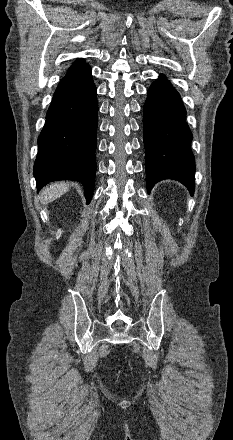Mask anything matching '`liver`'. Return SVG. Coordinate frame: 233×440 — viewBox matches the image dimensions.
I'll list each match as a JSON object with an SVG mask.
<instances>
[{"instance_id": "obj_1", "label": "liver", "mask_w": 233, "mask_h": 440, "mask_svg": "<svg viewBox=\"0 0 233 440\" xmlns=\"http://www.w3.org/2000/svg\"><path fill=\"white\" fill-rule=\"evenodd\" d=\"M69 183L65 181L51 183L41 190V203L47 204L65 194L69 189Z\"/></svg>"}]
</instances>
